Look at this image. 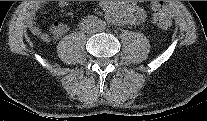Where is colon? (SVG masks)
Here are the masks:
<instances>
[{
  "label": "colon",
  "mask_w": 207,
  "mask_h": 121,
  "mask_svg": "<svg viewBox=\"0 0 207 121\" xmlns=\"http://www.w3.org/2000/svg\"><path fill=\"white\" fill-rule=\"evenodd\" d=\"M153 22L160 28L167 29L172 24V17L169 5L163 1H155L151 6Z\"/></svg>",
  "instance_id": "obj_1"
}]
</instances>
